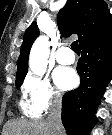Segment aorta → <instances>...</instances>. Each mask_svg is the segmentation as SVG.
<instances>
[{"label":"aorta","mask_w":112,"mask_h":135,"mask_svg":"<svg viewBox=\"0 0 112 135\" xmlns=\"http://www.w3.org/2000/svg\"><path fill=\"white\" fill-rule=\"evenodd\" d=\"M49 53L48 37L40 36L34 42L29 55V68L35 75L42 76L46 72Z\"/></svg>","instance_id":"762f6f07"}]
</instances>
